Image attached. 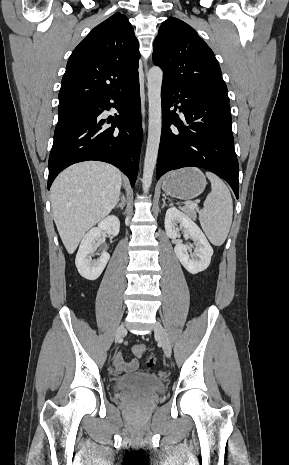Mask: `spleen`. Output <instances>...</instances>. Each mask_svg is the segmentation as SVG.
<instances>
[{"instance_id":"1","label":"spleen","mask_w":289,"mask_h":465,"mask_svg":"<svg viewBox=\"0 0 289 465\" xmlns=\"http://www.w3.org/2000/svg\"><path fill=\"white\" fill-rule=\"evenodd\" d=\"M206 176L211 182V192L199 212V221L210 242L221 246L232 224L233 201L228 187L219 177L210 172Z\"/></svg>"}]
</instances>
